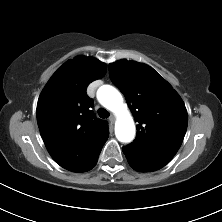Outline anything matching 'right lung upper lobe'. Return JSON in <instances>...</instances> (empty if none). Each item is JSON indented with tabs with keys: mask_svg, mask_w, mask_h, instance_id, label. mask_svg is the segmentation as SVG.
<instances>
[{
	"mask_svg": "<svg viewBox=\"0 0 222 222\" xmlns=\"http://www.w3.org/2000/svg\"><path fill=\"white\" fill-rule=\"evenodd\" d=\"M106 70L95 58L76 56L53 74L39 97L36 115L43 141L51 157L69 171H88L108 139V125L95 117L86 94Z\"/></svg>",
	"mask_w": 222,
	"mask_h": 222,
	"instance_id": "obj_1",
	"label": "right lung upper lobe"
}]
</instances>
